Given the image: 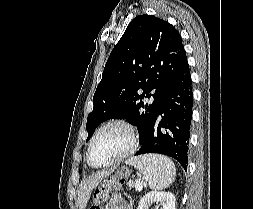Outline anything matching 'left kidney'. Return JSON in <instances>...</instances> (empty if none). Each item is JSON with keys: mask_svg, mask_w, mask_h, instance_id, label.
Returning <instances> with one entry per match:
<instances>
[{"mask_svg": "<svg viewBox=\"0 0 253 209\" xmlns=\"http://www.w3.org/2000/svg\"><path fill=\"white\" fill-rule=\"evenodd\" d=\"M153 204L161 206L160 209H176L175 196L171 192L152 191L147 193L139 202L137 209H149Z\"/></svg>", "mask_w": 253, "mask_h": 209, "instance_id": "obj_1", "label": "left kidney"}]
</instances>
